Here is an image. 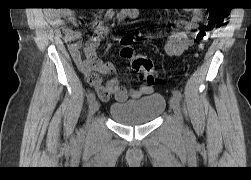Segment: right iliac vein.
Wrapping results in <instances>:
<instances>
[{
  "instance_id": "right-iliac-vein-1",
  "label": "right iliac vein",
  "mask_w": 251,
  "mask_h": 180,
  "mask_svg": "<svg viewBox=\"0 0 251 180\" xmlns=\"http://www.w3.org/2000/svg\"><path fill=\"white\" fill-rule=\"evenodd\" d=\"M100 108V104L97 100H94L89 105V116L95 114Z\"/></svg>"
}]
</instances>
